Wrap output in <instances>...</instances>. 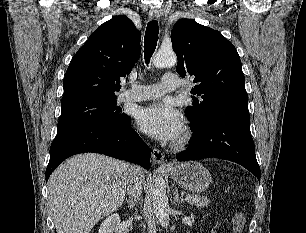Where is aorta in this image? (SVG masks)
Listing matches in <instances>:
<instances>
[{
	"instance_id": "762f6f07",
	"label": "aorta",
	"mask_w": 306,
	"mask_h": 233,
	"mask_svg": "<svg viewBox=\"0 0 306 233\" xmlns=\"http://www.w3.org/2000/svg\"><path fill=\"white\" fill-rule=\"evenodd\" d=\"M177 63V56L172 50H159L154 59L153 66L156 68L172 67ZM152 201L156 217L162 227L169 225V204L166 193L165 181L156 176L152 188Z\"/></svg>"
}]
</instances>
